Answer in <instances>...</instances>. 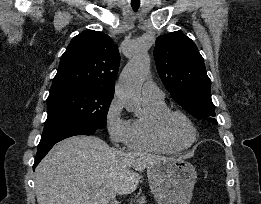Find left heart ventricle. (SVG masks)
Masks as SVG:
<instances>
[{"label":"left heart ventricle","mask_w":261,"mask_h":204,"mask_svg":"<svg viewBox=\"0 0 261 204\" xmlns=\"http://www.w3.org/2000/svg\"><path fill=\"white\" fill-rule=\"evenodd\" d=\"M167 132L170 138L179 146L190 143L193 133L189 125L179 117H173L167 124Z\"/></svg>","instance_id":"obj_1"}]
</instances>
